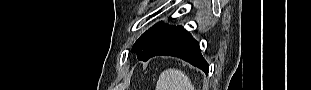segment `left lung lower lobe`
I'll list each match as a JSON object with an SVG mask.
<instances>
[{
	"label": "left lung lower lobe",
	"instance_id": "left-lung-lower-lobe-1",
	"mask_svg": "<svg viewBox=\"0 0 311 90\" xmlns=\"http://www.w3.org/2000/svg\"><path fill=\"white\" fill-rule=\"evenodd\" d=\"M157 55L181 58L208 74L209 65L201 55L198 42L181 26L174 27V29L153 49L145 61Z\"/></svg>",
	"mask_w": 311,
	"mask_h": 90
}]
</instances>
